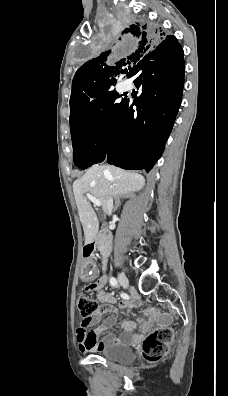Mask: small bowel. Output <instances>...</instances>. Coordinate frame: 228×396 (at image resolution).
<instances>
[{
  "instance_id": "obj_1",
  "label": "small bowel",
  "mask_w": 228,
  "mask_h": 396,
  "mask_svg": "<svg viewBox=\"0 0 228 396\" xmlns=\"http://www.w3.org/2000/svg\"><path fill=\"white\" fill-rule=\"evenodd\" d=\"M83 273L85 277H93L94 275V266L91 263H86L83 267ZM108 278L106 275H102L98 280L86 286V291L93 293L97 300L101 303V307L98 309L97 313L94 315L91 323L95 324L100 321L102 315L106 312L115 311L117 308L123 309H132L138 305V301L136 299L133 300H123L119 302L114 294L109 293L104 290V286L107 284ZM116 322L115 316L107 317L103 323L90 331H87L86 328L79 326L77 329V342L79 346V350L81 352H92L101 350L107 346L112 344H118L121 342L130 341L133 338L132 331L135 327V324L130 321H125L122 323L123 333L119 338H116L112 335H108L99 339V334L113 326ZM141 325L143 328H148V323L144 320L141 321Z\"/></svg>"
}]
</instances>
